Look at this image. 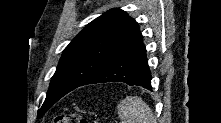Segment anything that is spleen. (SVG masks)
I'll list each match as a JSON object with an SVG mask.
<instances>
[{
  "instance_id": "1",
  "label": "spleen",
  "mask_w": 221,
  "mask_h": 123,
  "mask_svg": "<svg viewBox=\"0 0 221 123\" xmlns=\"http://www.w3.org/2000/svg\"><path fill=\"white\" fill-rule=\"evenodd\" d=\"M121 123H155L150 107L137 96H127L118 104Z\"/></svg>"
}]
</instances>
